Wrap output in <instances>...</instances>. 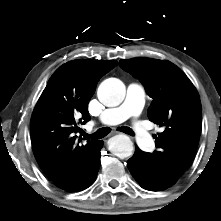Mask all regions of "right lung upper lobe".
<instances>
[{"label":"right lung upper lobe","mask_w":221,"mask_h":221,"mask_svg":"<svg viewBox=\"0 0 221 221\" xmlns=\"http://www.w3.org/2000/svg\"><path fill=\"white\" fill-rule=\"evenodd\" d=\"M117 65L114 60H74L49 79L31 118L35 158L61 189L67 190L84 174L99 141L80 144L78 123L90 120L87 105L100 78Z\"/></svg>","instance_id":"1"}]
</instances>
